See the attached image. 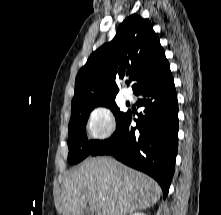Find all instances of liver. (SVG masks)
I'll use <instances>...</instances> for the list:
<instances>
[{
    "label": "liver",
    "instance_id": "6515ba94",
    "mask_svg": "<svg viewBox=\"0 0 221 215\" xmlns=\"http://www.w3.org/2000/svg\"><path fill=\"white\" fill-rule=\"evenodd\" d=\"M161 188L151 177L108 157L88 158L65 176L63 215H127L156 204Z\"/></svg>",
    "mask_w": 221,
    "mask_h": 215
}]
</instances>
